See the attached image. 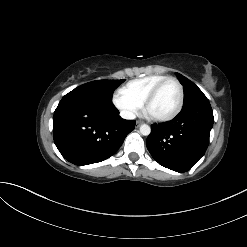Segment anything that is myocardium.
Here are the masks:
<instances>
[{"label": "myocardium", "instance_id": "1", "mask_svg": "<svg viewBox=\"0 0 247 247\" xmlns=\"http://www.w3.org/2000/svg\"><path fill=\"white\" fill-rule=\"evenodd\" d=\"M168 82H174L178 89H179V102L178 105L176 107V109L169 115L167 116H162V117H158V116H152L148 113L147 108L148 105L151 103V101L156 97V95L159 93V91L162 89V87L168 83ZM184 101H185V95H184V88L183 85L181 84V82L172 76L166 77L164 78L162 81H160L146 96V98L144 99L143 102V107L144 110L150 115L151 119H153L154 121L157 122H168L173 120L174 118H176L180 112L183 109L184 106Z\"/></svg>", "mask_w": 247, "mask_h": 247}]
</instances>
